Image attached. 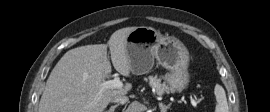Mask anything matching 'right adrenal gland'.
<instances>
[{"mask_svg":"<svg viewBox=\"0 0 270 112\" xmlns=\"http://www.w3.org/2000/svg\"><path fill=\"white\" fill-rule=\"evenodd\" d=\"M119 106V104H116L114 106H111L109 110L105 111V112H114L115 109Z\"/></svg>","mask_w":270,"mask_h":112,"instance_id":"2a0ac1e0","label":"right adrenal gland"}]
</instances>
